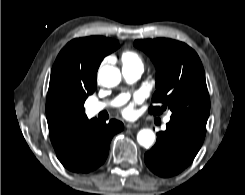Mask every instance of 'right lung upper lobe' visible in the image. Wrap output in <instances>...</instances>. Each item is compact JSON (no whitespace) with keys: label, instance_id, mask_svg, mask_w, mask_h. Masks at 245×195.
I'll use <instances>...</instances> for the list:
<instances>
[{"label":"right lung upper lobe","instance_id":"cb5924a9","mask_svg":"<svg viewBox=\"0 0 245 195\" xmlns=\"http://www.w3.org/2000/svg\"><path fill=\"white\" fill-rule=\"evenodd\" d=\"M118 47L117 40L90 36L73 39L58 54L46 99L49 135L56 153L67 149L90 121L84 102L96 89L101 61Z\"/></svg>","mask_w":245,"mask_h":195}]
</instances>
